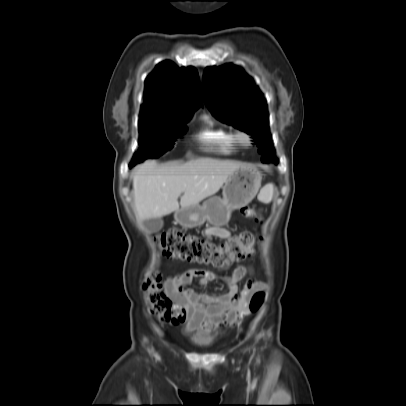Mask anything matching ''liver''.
Instances as JSON below:
<instances>
[{
    "mask_svg": "<svg viewBox=\"0 0 406 406\" xmlns=\"http://www.w3.org/2000/svg\"><path fill=\"white\" fill-rule=\"evenodd\" d=\"M245 166L241 162L212 158L170 166L146 161L132 173L136 217L139 221L160 218L179 210V206L199 204L217 193L233 172Z\"/></svg>",
    "mask_w": 406,
    "mask_h": 406,
    "instance_id": "6515ba94",
    "label": "liver"
}]
</instances>
